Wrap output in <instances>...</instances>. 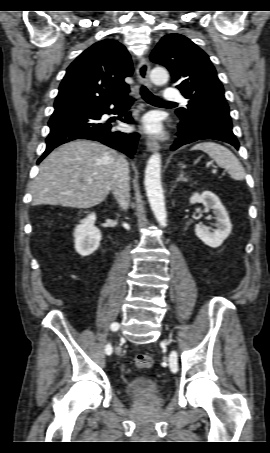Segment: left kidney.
I'll return each instance as SVG.
<instances>
[{
	"label": "left kidney",
	"instance_id": "5707ae66",
	"mask_svg": "<svg viewBox=\"0 0 270 453\" xmlns=\"http://www.w3.org/2000/svg\"><path fill=\"white\" fill-rule=\"evenodd\" d=\"M197 202L202 203L207 209H212L216 219L214 224L216 230L209 232L204 226L198 225L195 228V234L206 245L217 248L222 245L232 230L228 213L220 199L210 191H204L202 194L194 193L190 197V203L195 204Z\"/></svg>",
	"mask_w": 270,
	"mask_h": 453
}]
</instances>
